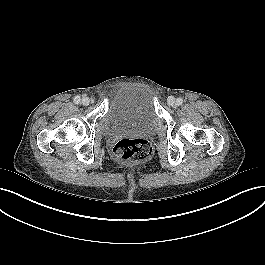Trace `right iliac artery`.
Segmentation results:
<instances>
[{
	"instance_id": "82829eb1",
	"label": "right iliac artery",
	"mask_w": 265,
	"mask_h": 265,
	"mask_svg": "<svg viewBox=\"0 0 265 265\" xmlns=\"http://www.w3.org/2000/svg\"><path fill=\"white\" fill-rule=\"evenodd\" d=\"M80 101H81V99H80L79 96H75V97H74V103H75V104H79Z\"/></svg>"
}]
</instances>
